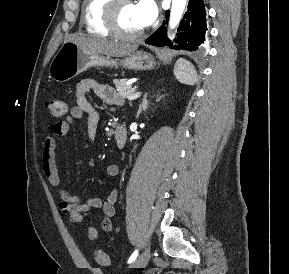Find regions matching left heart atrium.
<instances>
[{
    "mask_svg": "<svg viewBox=\"0 0 289 274\" xmlns=\"http://www.w3.org/2000/svg\"><path fill=\"white\" fill-rule=\"evenodd\" d=\"M137 17L143 27L154 22L157 17V6L154 0H139L135 4Z\"/></svg>",
    "mask_w": 289,
    "mask_h": 274,
    "instance_id": "obj_1",
    "label": "left heart atrium"
}]
</instances>
